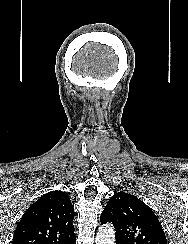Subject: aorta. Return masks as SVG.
Here are the masks:
<instances>
[{
    "instance_id": "obj_1",
    "label": "aorta",
    "mask_w": 188,
    "mask_h": 244,
    "mask_svg": "<svg viewBox=\"0 0 188 244\" xmlns=\"http://www.w3.org/2000/svg\"><path fill=\"white\" fill-rule=\"evenodd\" d=\"M96 244H115L114 229L110 224L99 228L96 234Z\"/></svg>"
}]
</instances>
